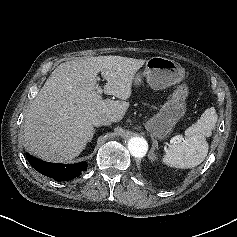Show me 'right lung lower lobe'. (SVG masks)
Listing matches in <instances>:
<instances>
[{"label": "right lung lower lobe", "instance_id": "98d812e1", "mask_svg": "<svg viewBox=\"0 0 237 237\" xmlns=\"http://www.w3.org/2000/svg\"><path fill=\"white\" fill-rule=\"evenodd\" d=\"M26 157L35 170L47 177L53 178L55 181L71 180L80 176L88 167L84 162L76 164H56L42 161L30 154H26Z\"/></svg>", "mask_w": 237, "mask_h": 237}]
</instances>
